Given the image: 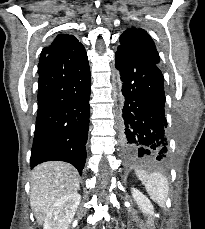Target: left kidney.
I'll return each instance as SVG.
<instances>
[{"instance_id":"5707ae66","label":"left kidney","mask_w":205,"mask_h":229,"mask_svg":"<svg viewBox=\"0 0 205 229\" xmlns=\"http://www.w3.org/2000/svg\"><path fill=\"white\" fill-rule=\"evenodd\" d=\"M131 192H132V196H133L134 200L136 201L137 205L139 206L140 210L143 213L152 216L154 214V207H153L152 203L150 202V200L142 192H140L136 188H132Z\"/></svg>"}]
</instances>
